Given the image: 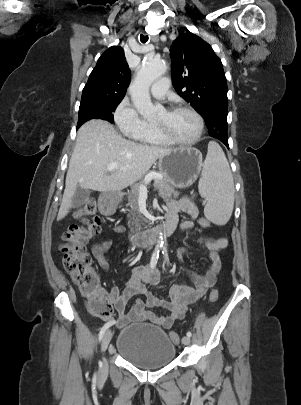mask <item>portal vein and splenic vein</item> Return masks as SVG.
<instances>
[{
    "instance_id": "1",
    "label": "portal vein and splenic vein",
    "mask_w": 301,
    "mask_h": 405,
    "mask_svg": "<svg viewBox=\"0 0 301 405\" xmlns=\"http://www.w3.org/2000/svg\"><path fill=\"white\" fill-rule=\"evenodd\" d=\"M117 166H118V163H117V162H114V163L108 164V165H107V169H108L109 171H111V170H113L114 168H116ZM162 178H163V176H162L161 174H159V173H153V174H151V175H148V176L145 178V181H146V183H149L151 179H162ZM139 193H140V194H146V193H147V187H146L145 185H141V186L139 187Z\"/></svg>"
}]
</instances>
